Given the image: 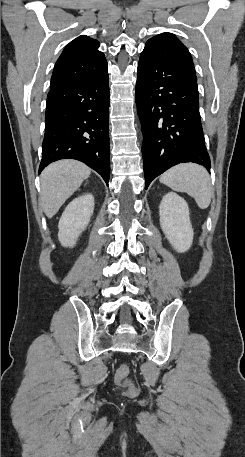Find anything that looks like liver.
Listing matches in <instances>:
<instances>
[{
	"mask_svg": "<svg viewBox=\"0 0 245 457\" xmlns=\"http://www.w3.org/2000/svg\"><path fill=\"white\" fill-rule=\"evenodd\" d=\"M91 168L72 158H64L52 162L41 172L40 202L48 216H54L68 196H71L85 178H88Z\"/></svg>",
	"mask_w": 245,
	"mask_h": 457,
	"instance_id": "liver-1",
	"label": "liver"
}]
</instances>
